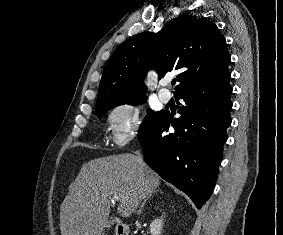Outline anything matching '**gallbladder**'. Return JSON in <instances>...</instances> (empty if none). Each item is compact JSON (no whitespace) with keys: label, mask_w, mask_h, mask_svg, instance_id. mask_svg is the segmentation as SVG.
Segmentation results:
<instances>
[{"label":"gallbladder","mask_w":283,"mask_h":235,"mask_svg":"<svg viewBox=\"0 0 283 235\" xmlns=\"http://www.w3.org/2000/svg\"><path fill=\"white\" fill-rule=\"evenodd\" d=\"M114 222H116V220H112L110 223L112 224V223H114Z\"/></svg>","instance_id":"1"}]
</instances>
